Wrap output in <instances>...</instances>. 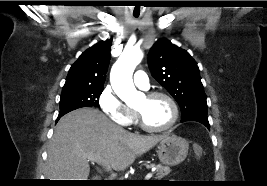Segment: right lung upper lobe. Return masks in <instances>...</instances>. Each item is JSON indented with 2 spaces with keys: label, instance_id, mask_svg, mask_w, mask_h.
Returning a JSON list of instances; mask_svg holds the SVG:
<instances>
[{
  "label": "right lung upper lobe",
  "instance_id": "right-lung-upper-lobe-1",
  "mask_svg": "<svg viewBox=\"0 0 267 186\" xmlns=\"http://www.w3.org/2000/svg\"><path fill=\"white\" fill-rule=\"evenodd\" d=\"M111 42H99L85 52L71 66L63 88H103L110 60Z\"/></svg>",
  "mask_w": 267,
  "mask_h": 186
}]
</instances>
